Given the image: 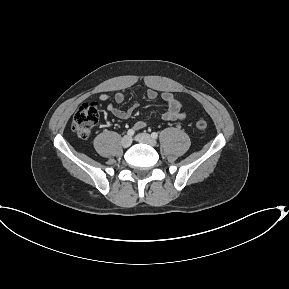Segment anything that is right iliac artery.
Returning <instances> with one entry per match:
<instances>
[{
  "mask_svg": "<svg viewBox=\"0 0 289 289\" xmlns=\"http://www.w3.org/2000/svg\"><path fill=\"white\" fill-rule=\"evenodd\" d=\"M128 136H133L134 135V130L133 129H129L127 131Z\"/></svg>",
  "mask_w": 289,
  "mask_h": 289,
  "instance_id": "right-iliac-artery-1",
  "label": "right iliac artery"
}]
</instances>
